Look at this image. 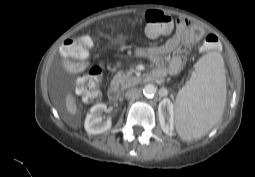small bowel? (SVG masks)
Wrapping results in <instances>:
<instances>
[{
    "label": "small bowel",
    "mask_w": 255,
    "mask_h": 177,
    "mask_svg": "<svg viewBox=\"0 0 255 177\" xmlns=\"http://www.w3.org/2000/svg\"><path fill=\"white\" fill-rule=\"evenodd\" d=\"M203 35L204 32L200 27L190 25L187 20L182 19L179 20L172 35L163 44L149 48H138L134 51V54L154 63L156 66L155 72H158L162 77L167 73L171 76H177L183 69V60L175 52L182 45H189L200 40ZM213 45H216V43L214 42ZM172 53L168 66H166L163 56Z\"/></svg>",
    "instance_id": "1"
}]
</instances>
